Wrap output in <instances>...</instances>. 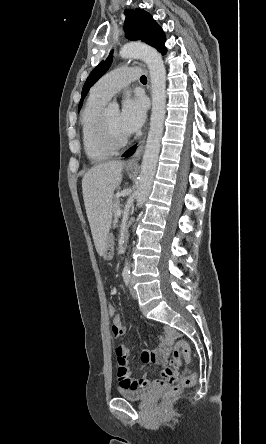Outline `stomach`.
<instances>
[{
	"label": "stomach",
	"mask_w": 266,
	"mask_h": 444,
	"mask_svg": "<svg viewBox=\"0 0 266 444\" xmlns=\"http://www.w3.org/2000/svg\"><path fill=\"white\" fill-rule=\"evenodd\" d=\"M127 170L129 172H133V169H127ZM102 256L107 260L111 259L113 256V237L111 235H109L106 240Z\"/></svg>",
	"instance_id": "obj_1"
}]
</instances>
